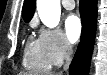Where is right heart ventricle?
<instances>
[{
	"instance_id": "1",
	"label": "right heart ventricle",
	"mask_w": 107,
	"mask_h": 75,
	"mask_svg": "<svg viewBox=\"0 0 107 75\" xmlns=\"http://www.w3.org/2000/svg\"><path fill=\"white\" fill-rule=\"evenodd\" d=\"M23 65L33 71H48L50 69L51 64L45 57L38 39L28 38L24 50Z\"/></svg>"
}]
</instances>
